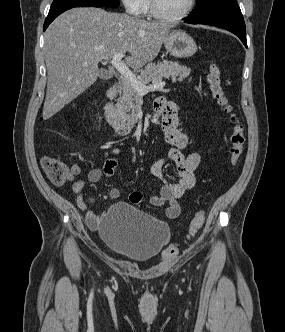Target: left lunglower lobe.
Masks as SVG:
<instances>
[{"instance_id":"obj_1","label":"left lung lower lobe","mask_w":285,"mask_h":332,"mask_svg":"<svg viewBox=\"0 0 285 332\" xmlns=\"http://www.w3.org/2000/svg\"><path fill=\"white\" fill-rule=\"evenodd\" d=\"M184 21L191 24H206L226 29L237 35L247 47L246 28L242 14L220 16L208 19L184 18Z\"/></svg>"}]
</instances>
